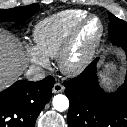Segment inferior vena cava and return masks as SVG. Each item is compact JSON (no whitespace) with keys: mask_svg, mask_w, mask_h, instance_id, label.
I'll list each match as a JSON object with an SVG mask.
<instances>
[{"mask_svg":"<svg viewBox=\"0 0 127 127\" xmlns=\"http://www.w3.org/2000/svg\"><path fill=\"white\" fill-rule=\"evenodd\" d=\"M26 77L30 81H40L46 77V72L40 67L31 66L26 72Z\"/></svg>","mask_w":127,"mask_h":127,"instance_id":"inferior-vena-cava-1","label":"inferior vena cava"}]
</instances>
